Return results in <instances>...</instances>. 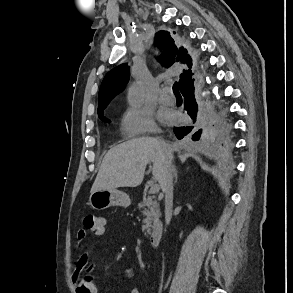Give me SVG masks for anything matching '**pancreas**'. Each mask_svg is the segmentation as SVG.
<instances>
[{"label":"pancreas","instance_id":"cf45deb5","mask_svg":"<svg viewBox=\"0 0 293 293\" xmlns=\"http://www.w3.org/2000/svg\"><path fill=\"white\" fill-rule=\"evenodd\" d=\"M139 208L143 209L144 215L142 230L145 231V235L150 234L152 228V222L157 220L160 216L159 203L154 196H145L144 201L139 203Z\"/></svg>","mask_w":293,"mask_h":293}]
</instances>
